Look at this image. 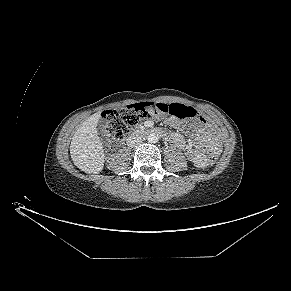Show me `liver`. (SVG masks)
<instances>
[{
	"label": "liver",
	"instance_id": "1",
	"mask_svg": "<svg viewBox=\"0 0 291 291\" xmlns=\"http://www.w3.org/2000/svg\"><path fill=\"white\" fill-rule=\"evenodd\" d=\"M100 113L91 115L76 130L70 145L73 163L85 173L98 174L104 167V150L98 136Z\"/></svg>",
	"mask_w": 291,
	"mask_h": 291
}]
</instances>
